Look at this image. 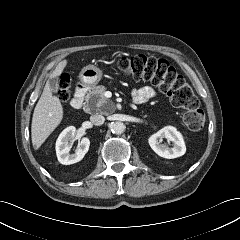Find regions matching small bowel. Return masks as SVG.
Returning <instances> with one entry per match:
<instances>
[{"label":"small bowel","mask_w":240,"mask_h":240,"mask_svg":"<svg viewBox=\"0 0 240 240\" xmlns=\"http://www.w3.org/2000/svg\"><path fill=\"white\" fill-rule=\"evenodd\" d=\"M133 100L136 104H143L155 96V91L149 86H143L135 89L132 93Z\"/></svg>","instance_id":"c3829d8e"}]
</instances>
